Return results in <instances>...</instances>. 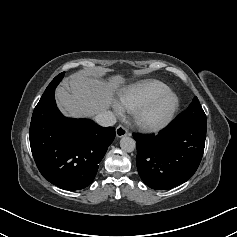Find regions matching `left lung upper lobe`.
Listing matches in <instances>:
<instances>
[{
  "label": "left lung upper lobe",
  "instance_id": "left-lung-upper-lobe-1",
  "mask_svg": "<svg viewBox=\"0 0 237 237\" xmlns=\"http://www.w3.org/2000/svg\"><path fill=\"white\" fill-rule=\"evenodd\" d=\"M176 120L179 122H190L207 125L206 115L197 97H194L189 107L185 111L180 113L176 117Z\"/></svg>",
  "mask_w": 237,
  "mask_h": 237
}]
</instances>
